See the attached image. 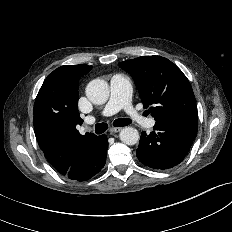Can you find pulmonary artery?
I'll return each instance as SVG.
<instances>
[{
    "instance_id": "pulmonary-artery-1",
    "label": "pulmonary artery",
    "mask_w": 232,
    "mask_h": 232,
    "mask_svg": "<svg viewBox=\"0 0 232 232\" xmlns=\"http://www.w3.org/2000/svg\"><path fill=\"white\" fill-rule=\"evenodd\" d=\"M110 99L101 111L103 117H109L120 110H124L129 118L144 127L151 128L155 125L153 118H144L131 104V84L123 74H115L110 81ZM95 121L94 116L86 118L87 124Z\"/></svg>"
}]
</instances>
